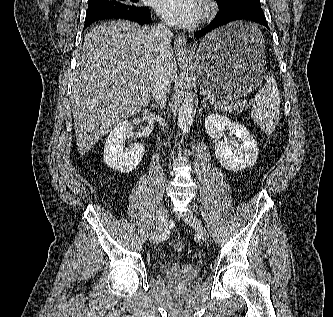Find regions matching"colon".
<instances>
[{
	"label": "colon",
	"mask_w": 333,
	"mask_h": 317,
	"mask_svg": "<svg viewBox=\"0 0 333 317\" xmlns=\"http://www.w3.org/2000/svg\"><path fill=\"white\" fill-rule=\"evenodd\" d=\"M185 249V244L182 241H178L174 244V250L176 252H183Z\"/></svg>",
	"instance_id": "1"
}]
</instances>
